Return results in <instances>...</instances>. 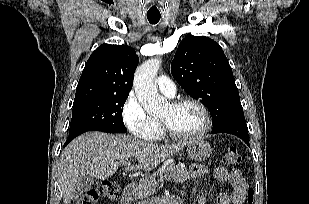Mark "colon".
<instances>
[{
    "label": "colon",
    "instance_id": "colon-1",
    "mask_svg": "<svg viewBox=\"0 0 309 204\" xmlns=\"http://www.w3.org/2000/svg\"><path fill=\"white\" fill-rule=\"evenodd\" d=\"M224 161L227 165L235 166L241 164V156L235 147H228L224 155ZM121 187L117 182L105 181L98 187L87 190L74 204H96V202L106 197L117 199L120 195ZM253 203V189L247 191V204Z\"/></svg>",
    "mask_w": 309,
    "mask_h": 204
}]
</instances>
